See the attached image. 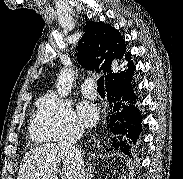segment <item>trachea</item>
Wrapping results in <instances>:
<instances>
[{
    "instance_id": "3493384b",
    "label": "trachea",
    "mask_w": 183,
    "mask_h": 179,
    "mask_svg": "<svg viewBox=\"0 0 183 179\" xmlns=\"http://www.w3.org/2000/svg\"><path fill=\"white\" fill-rule=\"evenodd\" d=\"M97 90L98 91H104V77L101 76L98 80H97Z\"/></svg>"
}]
</instances>
